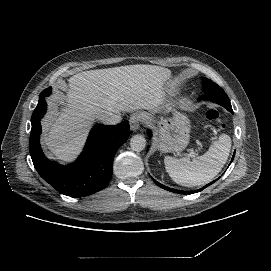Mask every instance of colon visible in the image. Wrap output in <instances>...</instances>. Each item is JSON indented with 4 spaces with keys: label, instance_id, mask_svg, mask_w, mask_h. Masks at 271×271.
Listing matches in <instances>:
<instances>
[{
    "label": "colon",
    "instance_id": "obj_1",
    "mask_svg": "<svg viewBox=\"0 0 271 271\" xmlns=\"http://www.w3.org/2000/svg\"><path fill=\"white\" fill-rule=\"evenodd\" d=\"M205 117L208 120L213 121L215 123H221L220 115H219V113L216 110L206 109L205 110Z\"/></svg>",
    "mask_w": 271,
    "mask_h": 271
}]
</instances>
